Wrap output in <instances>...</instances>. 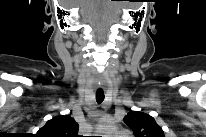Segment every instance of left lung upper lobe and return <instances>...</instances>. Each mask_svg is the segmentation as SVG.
Instances as JSON below:
<instances>
[{"mask_svg": "<svg viewBox=\"0 0 206 137\" xmlns=\"http://www.w3.org/2000/svg\"><path fill=\"white\" fill-rule=\"evenodd\" d=\"M123 120L133 130L135 137H165L162 128L148 114L130 111Z\"/></svg>", "mask_w": 206, "mask_h": 137, "instance_id": "obj_1", "label": "left lung upper lobe"}]
</instances>
